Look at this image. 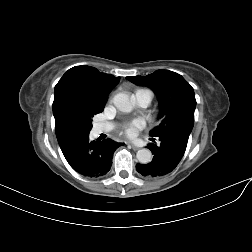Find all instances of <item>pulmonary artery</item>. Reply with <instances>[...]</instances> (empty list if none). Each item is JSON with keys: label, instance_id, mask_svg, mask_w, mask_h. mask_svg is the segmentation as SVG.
I'll return each mask as SVG.
<instances>
[{"label": "pulmonary artery", "instance_id": "obj_1", "mask_svg": "<svg viewBox=\"0 0 252 252\" xmlns=\"http://www.w3.org/2000/svg\"><path fill=\"white\" fill-rule=\"evenodd\" d=\"M136 104L140 107H147L149 105V99L145 93H139L134 97ZM111 129L110 125L97 124L93 127L94 135H99L108 132Z\"/></svg>", "mask_w": 252, "mask_h": 252}]
</instances>
